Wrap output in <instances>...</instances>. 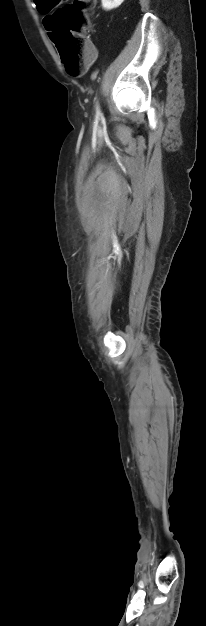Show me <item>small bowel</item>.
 <instances>
[{"instance_id":"obj_1","label":"small bowel","mask_w":206,"mask_h":626,"mask_svg":"<svg viewBox=\"0 0 206 626\" xmlns=\"http://www.w3.org/2000/svg\"><path fill=\"white\" fill-rule=\"evenodd\" d=\"M42 1H43V0H37V2H36V3H37V6H38L39 8L41 7V2H42ZM47 18H48V16H46V17L44 18V26H45L46 30L48 31V33H49V35H50V29H49V27H48V25H47V22H46V21H47Z\"/></svg>"}]
</instances>
